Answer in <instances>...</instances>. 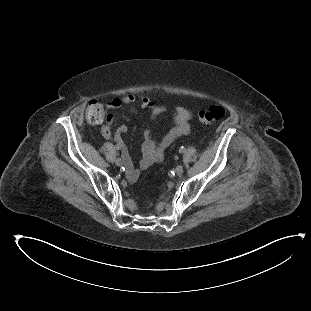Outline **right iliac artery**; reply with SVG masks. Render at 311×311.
I'll return each mask as SVG.
<instances>
[{"label":"right iliac artery","mask_w":311,"mask_h":311,"mask_svg":"<svg viewBox=\"0 0 311 311\" xmlns=\"http://www.w3.org/2000/svg\"><path fill=\"white\" fill-rule=\"evenodd\" d=\"M115 148H116L117 150H121V149H122V145H121V144H117V145L115 146Z\"/></svg>","instance_id":"1"}]
</instances>
